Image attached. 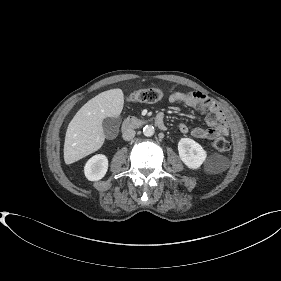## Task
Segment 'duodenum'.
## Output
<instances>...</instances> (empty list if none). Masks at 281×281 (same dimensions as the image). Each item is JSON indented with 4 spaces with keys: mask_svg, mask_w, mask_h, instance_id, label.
<instances>
[{
    "mask_svg": "<svg viewBox=\"0 0 281 281\" xmlns=\"http://www.w3.org/2000/svg\"><path fill=\"white\" fill-rule=\"evenodd\" d=\"M152 122L160 129V130H166L167 125L164 121V118L161 115H157L152 119ZM145 124L143 121L139 120H127L126 122L123 123L122 126V131L125 132L131 128L135 127H141Z\"/></svg>",
    "mask_w": 281,
    "mask_h": 281,
    "instance_id": "duodenum-1",
    "label": "duodenum"
}]
</instances>
